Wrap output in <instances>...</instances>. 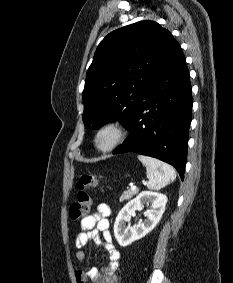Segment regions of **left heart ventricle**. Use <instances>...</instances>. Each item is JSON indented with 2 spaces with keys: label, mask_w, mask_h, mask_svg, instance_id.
Listing matches in <instances>:
<instances>
[{
  "label": "left heart ventricle",
  "mask_w": 233,
  "mask_h": 283,
  "mask_svg": "<svg viewBox=\"0 0 233 283\" xmlns=\"http://www.w3.org/2000/svg\"><path fill=\"white\" fill-rule=\"evenodd\" d=\"M112 139V135L110 133H105L103 134L100 139H99V143L102 145V146H106L107 144H109V142L111 141Z\"/></svg>",
  "instance_id": "b2bd125f"
}]
</instances>
